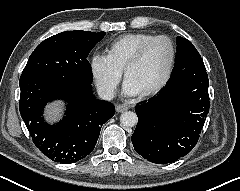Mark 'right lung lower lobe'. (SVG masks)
<instances>
[{
  "mask_svg": "<svg viewBox=\"0 0 240 191\" xmlns=\"http://www.w3.org/2000/svg\"><path fill=\"white\" fill-rule=\"evenodd\" d=\"M19 110L35 146L51 160L70 164L94 149L101 127L115 112L112 103L94 97L91 84L59 74L21 76ZM67 102L66 116L56 125L43 119L52 100Z\"/></svg>",
  "mask_w": 240,
  "mask_h": 191,
  "instance_id": "right-lung-lower-lobe-1",
  "label": "right lung lower lobe"
}]
</instances>
